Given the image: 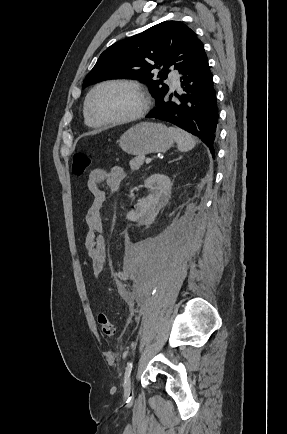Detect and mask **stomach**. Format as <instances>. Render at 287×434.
Instances as JSON below:
<instances>
[{
	"label": "stomach",
	"instance_id": "1",
	"mask_svg": "<svg viewBox=\"0 0 287 434\" xmlns=\"http://www.w3.org/2000/svg\"><path fill=\"white\" fill-rule=\"evenodd\" d=\"M118 143L124 152L144 156L167 151L172 147L174 138L165 125L142 122L128 129Z\"/></svg>",
	"mask_w": 287,
	"mask_h": 434
}]
</instances>
